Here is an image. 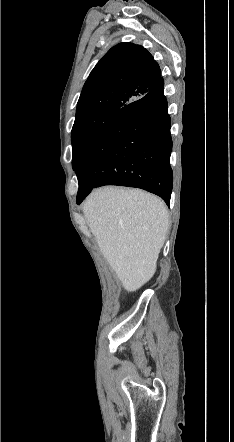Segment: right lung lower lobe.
<instances>
[{
	"label": "right lung lower lobe",
	"instance_id": "right-lung-lower-lobe-1",
	"mask_svg": "<svg viewBox=\"0 0 234 442\" xmlns=\"http://www.w3.org/2000/svg\"><path fill=\"white\" fill-rule=\"evenodd\" d=\"M161 78L142 97L119 109L103 135L76 168L77 204L94 187H137L169 205L172 192L171 120Z\"/></svg>",
	"mask_w": 234,
	"mask_h": 442
}]
</instances>
